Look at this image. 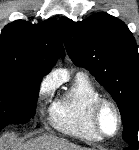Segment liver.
I'll return each mask as SVG.
<instances>
[{"label": "liver", "mask_w": 139, "mask_h": 150, "mask_svg": "<svg viewBox=\"0 0 139 150\" xmlns=\"http://www.w3.org/2000/svg\"><path fill=\"white\" fill-rule=\"evenodd\" d=\"M9 136L5 135L4 138ZM10 142V140H9ZM0 141V150L2 149ZM11 150H93L73 144L63 138L55 136H42L27 142L19 147H11ZM18 148V149H16Z\"/></svg>", "instance_id": "1"}]
</instances>
